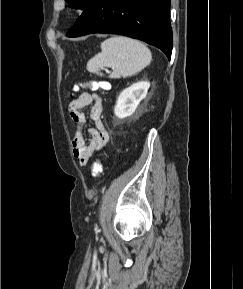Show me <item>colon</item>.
Masks as SVG:
<instances>
[{"instance_id": "obj_1", "label": "colon", "mask_w": 243, "mask_h": 289, "mask_svg": "<svg viewBox=\"0 0 243 289\" xmlns=\"http://www.w3.org/2000/svg\"><path fill=\"white\" fill-rule=\"evenodd\" d=\"M80 87H88L91 89H99V88H104L103 83L98 82V81H88V82H82V83H78L75 86V90H78ZM102 171V165L101 162L99 160H96L91 168V175L94 178H97L100 176Z\"/></svg>"}]
</instances>
